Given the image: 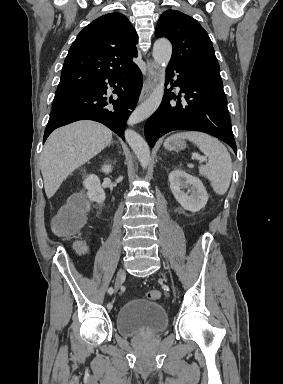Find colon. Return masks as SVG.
Listing matches in <instances>:
<instances>
[{
  "label": "colon",
  "mask_w": 283,
  "mask_h": 384,
  "mask_svg": "<svg viewBox=\"0 0 283 384\" xmlns=\"http://www.w3.org/2000/svg\"><path fill=\"white\" fill-rule=\"evenodd\" d=\"M87 211V203L83 199L74 198L63 206L53 221L54 230L61 235L70 236L82 227L85 221ZM82 248V246H79ZM150 300H158L161 298V292L151 290L147 293Z\"/></svg>",
  "instance_id": "5ec220e1"
}]
</instances>
